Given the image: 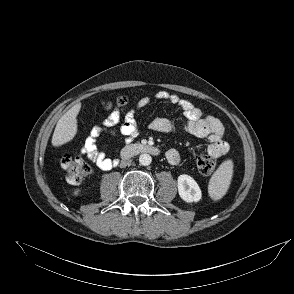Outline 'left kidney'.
<instances>
[{"mask_svg":"<svg viewBox=\"0 0 294 294\" xmlns=\"http://www.w3.org/2000/svg\"><path fill=\"white\" fill-rule=\"evenodd\" d=\"M178 192L185 202H198L202 192L197 182L189 175L182 174L178 177Z\"/></svg>","mask_w":294,"mask_h":294,"instance_id":"5707ae66","label":"left kidney"}]
</instances>
